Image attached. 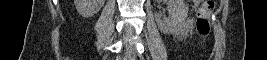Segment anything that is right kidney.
<instances>
[{
	"mask_svg": "<svg viewBox=\"0 0 267 60\" xmlns=\"http://www.w3.org/2000/svg\"><path fill=\"white\" fill-rule=\"evenodd\" d=\"M105 0H74L77 12L82 17H92L102 8Z\"/></svg>",
	"mask_w": 267,
	"mask_h": 60,
	"instance_id": "ca27d5eb",
	"label": "right kidney"
}]
</instances>
